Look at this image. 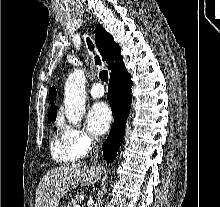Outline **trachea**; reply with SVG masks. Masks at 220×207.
I'll use <instances>...</instances> for the list:
<instances>
[{
    "instance_id": "obj_1",
    "label": "trachea",
    "mask_w": 220,
    "mask_h": 207,
    "mask_svg": "<svg viewBox=\"0 0 220 207\" xmlns=\"http://www.w3.org/2000/svg\"><path fill=\"white\" fill-rule=\"evenodd\" d=\"M87 42H88L89 49L91 51H93L94 45L92 44V42L90 41L89 38H87ZM95 63H96V65H101V60H100L99 56H95ZM99 77L102 81H107L108 80V71H106V70L100 71Z\"/></svg>"
}]
</instances>
